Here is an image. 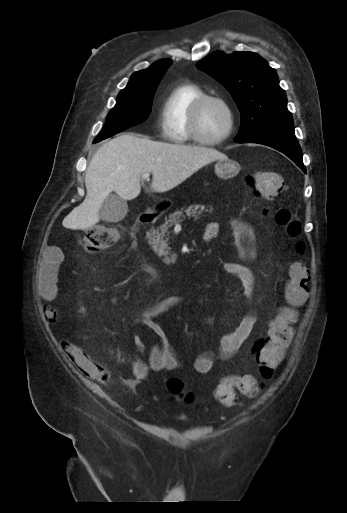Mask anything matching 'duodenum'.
Returning a JSON list of instances; mask_svg holds the SVG:
<instances>
[{"label": "duodenum", "instance_id": "duodenum-1", "mask_svg": "<svg viewBox=\"0 0 347 513\" xmlns=\"http://www.w3.org/2000/svg\"><path fill=\"white\" fill-rule=\"evenodd\" d=\"M165 206L162 204H156L151 209L139 215L134 226L133 231L135 233L140 232L142 229L150 226L153 221L164 212Z\"/></svg>", "mask_w": 347, "mask_h": 513}]
</instances>
